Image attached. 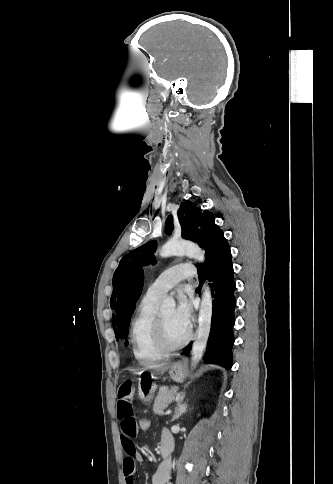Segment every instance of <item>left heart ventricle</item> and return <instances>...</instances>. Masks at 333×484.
Instances as JSON below:
<instances>
[{"label":"left heart ventricle","mask_w":333,"mask_h":484,"mask_svg":"<svg viewBox=\"0 0 333 484\" xmlns=\"http://www.w3.org/2000/svg\"><path fill=\"white\" fill-rule=\"evenodd\" d=\"M165 326V331L169 342L177 343L187 334L185 330L175 319L174 309H168L160 313Z\"/></svg>","instance_id":"left-heart-ventricle-1"}]
</instances>
